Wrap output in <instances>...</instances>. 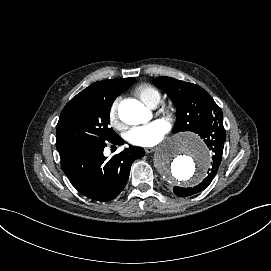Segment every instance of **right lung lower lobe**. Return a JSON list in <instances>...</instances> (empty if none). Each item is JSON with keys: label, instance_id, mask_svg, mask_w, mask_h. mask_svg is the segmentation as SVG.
Returning <instances> with one entry per match:
<instances>
[{"label": "right lung lower lobe", "instance_id": "1", "mask_svg": "<svg viewBox=\"0 0 271 271\" xmlns=\"http://www.w3.org/2000/svg\"><path fill=\"white\" fill-rule=\"evenodd\" d=\"M110 143L122 145L119 136ZM106 142H81L59 150L61 168L72 185L87 198L107 202L125 187L134 160L145 155L142 148L130 146L110 160L104 156Z\"/></svg>", "mask_w": 271, "mask_h": 271}]
</instances>
